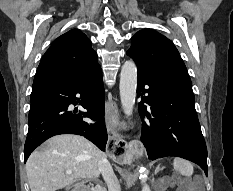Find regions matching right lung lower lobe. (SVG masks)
Masks as SVG:
<instances>
[{
  "label": "right lung lower lobe",
  "mask_w": 233,
  "mask_h": 191,
  "mask_svg": "<svg viewBox=\"0 0 233 191\" xmlns=\"http://www.w3.org/2000/svg\"><path fill=\"white\" fill-rule=\"evenodd\" d=\"M80 101L87 112L71 111L68 108L70 104L76 105ZM104 102L100 66L77 80H43L33 83L24 162L38 145L58 134L82 135L105 151L107 130L104 124ZM86 117L96 122L90 124L83 121Z\"/></svg>",
  "instance_id": "obj_1"
}]
</instances>
